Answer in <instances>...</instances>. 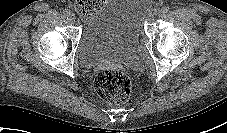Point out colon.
Masks as SVG:
<instances>
[{"mask_svg": "<svg viewBox=\"0 0 227 133\" xmlns=\"http://www.w3.org/2000/svg\"><path fill=\"white\" fill-rule=\"evenodd\" d=\"M104 0H77L76 9L84 17L94 14ZM95 89L98 95L112 103L127 101L132 92V82L129 76L118 69H103L95 79Z\"/></svg>", "mask_w": 227, "mask_h": 133, "instance_id": "colon-1", "label": "colon"}]
</instances>
